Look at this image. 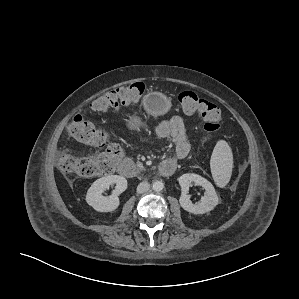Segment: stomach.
Instances as JSON below:
<instances>
[{
  "label": "stomach",
  "mask_w": 299,
  "mask_h": 299,
  "mask_svg": "<svg viewBox=\"0 0 299 299\" xmlns=\"http://www.w3.org/2000/svg\"><path fill=\"white\" fill-rule=\"evenodd\" d=\"M142 105L146 113L152 117H160L167 114L172 107L171 98L167 97L162 92H150L143 97ZM132 126H139L140 121L134 117L131 121Z\"/></svg>",
  "instance_id": "0dacf381"
}]
</instances>
